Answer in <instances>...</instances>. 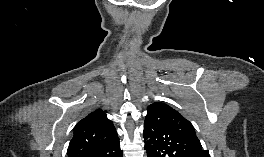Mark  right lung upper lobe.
<instances>
[{
    "instance_id": "cb5924a9",
    "label": "right lung upper lobe",
    "mask_w": 264,
    "mask_h": 157,
    "mask_svg": "<svg viewBox=\"0 0 264 157\" xmlns=\"http://www.w3.org/2000/svg\"><path fill=\"white\" fill-rule=\"evenodd\" d=\"M119 141L113 123L100 109L88 114L74 127L68 157H92Z\"/></svg>"
}]
</instances>
